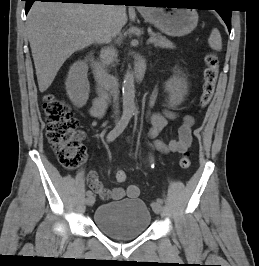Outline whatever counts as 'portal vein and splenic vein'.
<instances>
[{
	"label": "portal vein and splenic vein",
	"mask_w": 259,
	"mask_h": 266,
	"mask_svg": "<svg viewBox=\"0 0 259 266\" xmlns=\"http://www.w3.org/2000/svg\"><path fill=\"white\" fill-rule=\"evenodd\" d=\"M152 42H154V38H150V39L148 40V43H152Z\"/></svg>",
	"instance_id": "obj_1"
}]
</instances>
